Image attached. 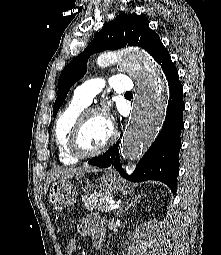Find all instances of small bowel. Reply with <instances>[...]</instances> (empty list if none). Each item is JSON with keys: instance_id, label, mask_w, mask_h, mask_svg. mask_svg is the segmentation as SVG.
Listing matches in <instances>:
<instances>
[{"instance_id": "small-bowel-1", "label": "small bowel", "mask_w": 221, "mask_h": 255, "mask_svg": "<svg viewBox=\"0 0 221 255\" xmlns=\"http://www.w3.org/2000/svg\"><path fill=\"white\" fill-rule=\"evenodd\" d=\"M78 233L81 236H91L93 241L95 238L103 239L104 237V226L101 219L98 216L89 215L77 224ZM76 250L75 240H70L67 244L68 255H73Z\"/></svg>"}]
</instances>
